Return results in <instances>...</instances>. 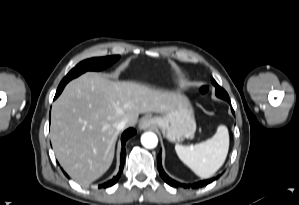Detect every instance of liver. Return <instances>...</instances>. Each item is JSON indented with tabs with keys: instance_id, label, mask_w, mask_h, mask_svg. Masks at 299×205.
<instances>
[{
	"instance_id": "1",
	"label": "liver",
	"mask_w": 299,
	"mask_h": 205,
	"mask_svg": "<svg viewBox=\"0 0 299 205\" xmlns=\"http://www.w3.org/2000/svg\"><path fill=\"white\" fill-rule=\"evenodd\" d=\"M179 93L133 81H111L87 72L70 81L53 103L50 138L57 160L77 182L89 184L111 166L119 130L143 113H168L182 101Z\"/></svg>"
}]
</instances>
